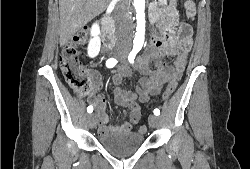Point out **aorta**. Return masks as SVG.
<instances>
[{
  "mask_svg": "<svg viewBox=\"0 0 250 169\" xmlns=\"http://www.w3.org/2000/svg\"><path fill=\"white\" fill-rule=\"evenodd\" d=\"M134 8L136 10V20H137V26H136V36L134 38L135 40H144V34H145V0H134Z\"/></svg>",
  "mask_w": 250,
  "mask_h": 169,
  "instance_id": "762f6f07",
  "label": "aorta"
}]
</instances>
